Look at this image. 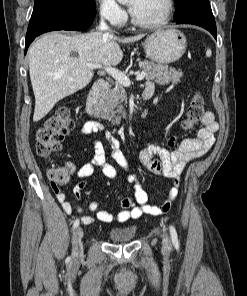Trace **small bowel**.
Listing matches in <instances>:
<instances>
[{
  "mask_svg": "<svg viewBox=\"0 0 247 296\" xmlns=\"http://www.w3.org/2000/svg\"><path fill=\"white\" fill-rule=\"evenodd\" d=\"M155 85L152 81H148L145 90L154 92ZM144 90V91H145ZM202 127L197 132L196 138H188L182 140L178 147L173 151H168L160 145H152L139 152L138 158L141 164L153 175L168 178L172 185L169 189L167 197L161 205H151L148 203V195L137 180L135 175L129 174L127 179L133 184V194L121 199V211L112 214L106 210L99 208L98 202L89 204V210L96 212V216H81L84 224H92L96 220L104 223H123L129 220H135L143 215L157 216L168 212L178 193L179 178L185 166L194 158L205 154L214 143V134L218 129L214 114L206 111L201 119ZM104 131V126L96 121H87L81 127V134L85 138V142L94 149L93 156L78 171L77 175L83 180L73 187V194L77 200L81 199L82 191L89 184V179L93 176L97 169L109 178L117 177L116 168L110 164L106 157V150L102 143L92 139L90 136L96 132ZM109 148L111 155L117 165L125 171L129 170V164L126 156L120 150L119 144L114 137H111ZM158 157V158H157ZM71 173L75 172L72 164L69 165ZM56 198L67 214H72L74 207L67 199L63 191H55ZM76 211L81 212L80 207H76Z\"/></svg>",
  "mask_w": 247,
  "mask_h": 296,
  "instance_id": "1",
  "label": "small bowel"
}]
</instances>
